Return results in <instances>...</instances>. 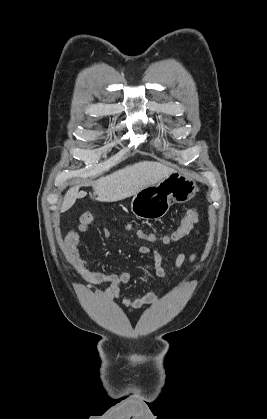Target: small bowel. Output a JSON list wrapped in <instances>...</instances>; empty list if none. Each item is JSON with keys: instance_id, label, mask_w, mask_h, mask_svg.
Here are the masks:
<instances>
[{"instance_id": "obj_1", "label": "small bowel", "mask_w": 267, "mask_h": 419, "mask_svg": "<svg viewBox=\"0 0 267 419\" xmlns=\"http://www.w3.org/2000/svg\"><path fill=\"white\" fill-rule=\"evenodd\" d=\"M93 220L94 215L92 213H84L80 217L77 226L70 229L66 234L64 247L68 262L78 274L88 281L95 284L107 285V288L100 293V296L103 298L110 300L117 299L123 306L130 309H140L157 303L160 300V297L154 291H150L142 297L136 299L122 297L120 295L121 286L129 283L133 278V275L128 271L120 273H101L89 270L88 263L80 257L79 244L81 242L82 235L87 231L88 226L93 222ZM195 231L198 232V229H195ZM101 234L104 238H108L110 236V231L108 229H103ZM137 250L139 254L143 256L152 257V273L155 276L159 278H165L167 276V269L165 265L168 260L167 257L163 256L157 250L150 249L145 245H139ZM194 259L195 255L187 257L185 254L181 253L175 260V267L178 270L185 261L188 260V262H193Z\"/></svg>"}]
</instances>
